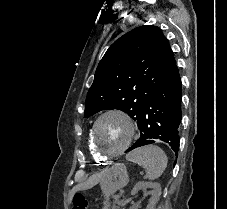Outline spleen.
I'll return each mask as SVG.
<instances>
[{
    "mask_svg": "<svg viewBox=\"0 0 227 209\" xmlns=\"http://www.w3.org/2000/svg\"><path fill=\"white\" fill-rule=\"evenodd\" d=\"M126 159L143 167L146 171L147 179H150V181L158 179L164 173L168 163L164 151L160 147H156V145H146V147L134 149V151L126 155Z\"/></svg>",
    "mask_w": 227,
    "mask_h": 209,
    "instance_id": "3e777b00",
    "label": "spleen"
}]
</instances>
